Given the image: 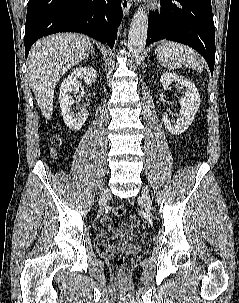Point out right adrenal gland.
I'll use <instances>...</instances> for the list:
<instances>
[{"label": "right adrenal gland", "mask_w": 239, "mask_h": 303, "mask_svg": "<svg viewBox=\"0 0 239 303\" xmlns=\"http://www.w3.org/2000/svg\"><path fill=\"white\" fill-rule=\"evenodd\" d=\"M90 54H91V55H95L94 50H93V46H91ZM86 59H88V56L86 57Z\"/></svg>", "instance_id": "right-adrenal-gland-1"}]
</instances>
